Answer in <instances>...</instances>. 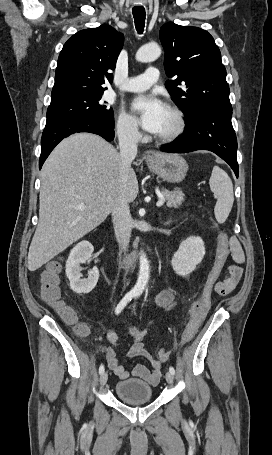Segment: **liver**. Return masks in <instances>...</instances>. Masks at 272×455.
Instances as JSON below:
<instances>
[{
    "label": "liver",
    "mask_w": 272,
    "mask_h": 455,
    "mask_svg": "<svg viewBox=\"0 0 272 455\" xmlns=\"http://www.w3.org/2000/svg\"><path fill=\"white\" fill-rule=\"evenodd\" d=\"M120 166L118 151L91 133L71 135L52 151L41 172L39 222L29 248V271L104 222L122 192L128 203L136 199V174L130 167L122 188ZM82 204L85 209H79Z\"/></svg>",
    "instance_id": "liver-1"
}]
</instances>
